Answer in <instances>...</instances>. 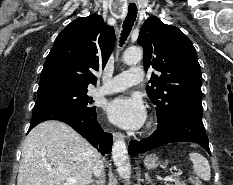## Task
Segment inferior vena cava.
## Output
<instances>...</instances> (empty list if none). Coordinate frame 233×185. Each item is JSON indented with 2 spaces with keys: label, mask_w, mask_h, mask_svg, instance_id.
Returning <instances> with one entry per match:
<instances>
[{
  "label": "inferior vena cava",
  "mask_w": 233,
  "mask_h": 185,
  "mask_svg": "<svg viewBox=\"0 0 233 185\" xmlns=\"http://www.w3.org/2000/svg\"><path fill=\"white\" fill-rule=\"evenodd\" d=\"M104 170V165H103V162L102 161H98L95 165H94V168H93V173L95 176L97 177H100L102 172Z\"/></svg>",
  "instance_id": "inferior-vena-cava-1"
}]
</instances>
